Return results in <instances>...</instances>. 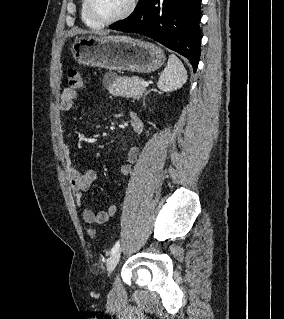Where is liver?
Returning a JSON list of instances; mask_svg holds the SVG:
<instances>
[{"instance_id": "6515ba94", "label": "liver", "mask_w": 284, "mask_h": 319, "mask_svg": "<svg viewBox=\"0 0 284 319\" xmlns=\"http://www.w3.org/2000/svg\"><path fill=\"white\" fill-rule=\"evenodd\" d=\"M109 38H122V39H129L128 37H125V36H110Z\"/></svg>"}]
</instances>
